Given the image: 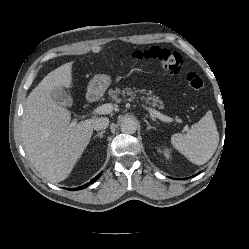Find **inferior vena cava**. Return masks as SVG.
<instances>
[{
	"instance_id": "602c4592",
	"label": "inferior vena cava",
	"mask_w": 249,
	"mask_h": 249,
	"mask_svg": "<svg viewBox=\"0 0 249 249\" xmlns=\"http://www.w3.org/2000/svg\"><path fill=\"white\" fill-rule=\"evenodd\" d=\"M109 125V119L106 117L96 118L92 122V127L94 130L106 129Z\"/></svg>"
}]
</instances>
